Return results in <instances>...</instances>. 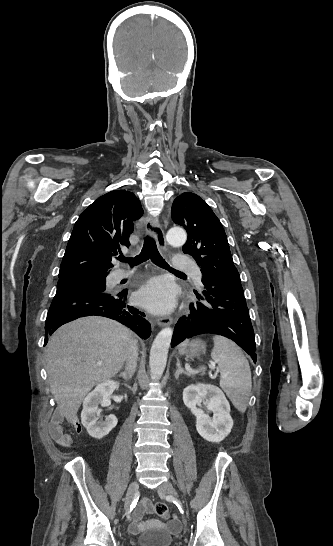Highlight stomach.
Listing matches in <instances>:
<instances>
[{
	"mask_svg": "<svg viewBox=\"0 0 333 546\" xmlns=\"http://www.w3.org/2000/svg\"><path fill=\"white\" fill-rule=\"evenodd\" d=\"M205 351V344L204 342L200 341V340H194L192 341L188 347L184 350V353L188 356V357H192V356H195L197 354H199L200 352H204Z\"/></svg>",
	"mask_w": 333,
	"mask_h": 546,
	"instance_id": "0dacf381",
	"label": "stomach"
}]
</instances>
